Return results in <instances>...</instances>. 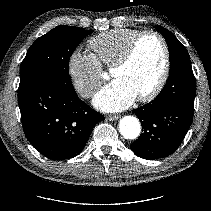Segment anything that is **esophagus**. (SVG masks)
<instances>
[{
    "label": "esophagus",
    "instance_id": "esophagus-1",
    "mask_svg": "<svg viewBox=\"0 0 211 211\" xmlns=\"http://www.w3.org/2000/svg\"><path fill=\"white\" fill-rule=\"evenodd\" d=\"M121 116L120 115H108L107 119L110 121L118 120Z\"/></svg>",
    "mask_w": 211,
    "mask_h": 211
}]
</instances>
